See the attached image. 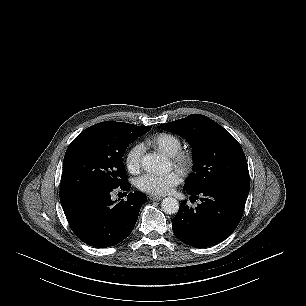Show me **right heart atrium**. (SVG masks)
Segmentation results:
<instances>
[{
	"label": "right heart atrium",
	"instance_id": "d8ad5b80",
	"mask_svg": "<svg viewBox=\"0 0 306 306\" xmlns=\"http://www.w3.org/2000/svg\"><path fill=\"white\" fill-rule=\"evenodd\" d=\"M143 146L141 144L132 145L125 155V165L130 173L136 174L142 166Z\"/></svg>",
	"mask_w": 306,
	"mask_h": 306
}]
</instances>
